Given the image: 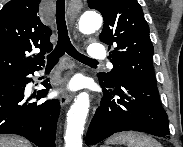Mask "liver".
<instances>
[{
	"label": "liver",
	"mask_w": 183,
	"mask_h": 147,
	"mask_svg": "<svg viewBox=\"0 0 183 147\" xmlns=\"http://www.w3.org/2000/svg\"><path fill=\"white\" fill-rule=\"evenodd\" d=\"M0 147H31V144L19 137L0 136Z\"/></svg>",
	"instance_id": "1"
}]
</instances>
